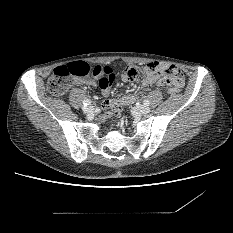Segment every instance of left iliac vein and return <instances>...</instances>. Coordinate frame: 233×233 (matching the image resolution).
Listing matches in <instances>:
<instances>
[{
  "label": "left iliac vein",
  "instance_id": "left-iliac-vein-1",
  "mask_svg": "<svg viewBox=\"0 0 233 233\" xmlns=\"http://www.w3.org/2000/svg\"><path fill=\"white\" fill-rule=\"evenodd\" d=\"M136 110L141 114H148L150 112V107L146 105H139L136 107Z\"/></svg>",
  "mask_w": 233,
  "mask_h": 233
}]
</instances>
